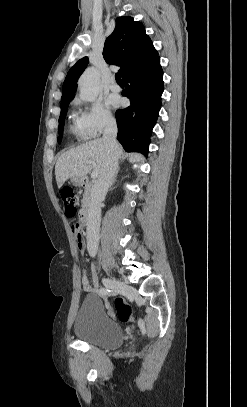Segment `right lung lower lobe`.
Here are the masks:
<instances>
[{"label":"right lung lower lobe","instance_id":"right-lung-lower-lobe-1","mask_svg":"<svg viewBox=\"0 0 247 407\" xmlns=\"http://www.w3.org/2000/svg\"><path fill=\"white\" fill-rule=\"evenodd\" d=\"M123 96L131 105L116 111L117 139L127 152L147 154L152 129L161 108L163 71L156 56L125 74Z\"/></svg>","mask_w":247,"mask_h":407}]
</instances>
